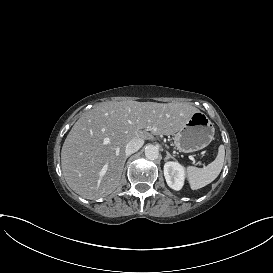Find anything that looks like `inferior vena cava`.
<instances>
[{
  "label": "inferior vena cava",
  "instance_id": "602c4592",
  "mask_svg": "<svg viewBox=\"0 0 273 273\" xmlns=\"http://www.w3.org/2000/svg\"><path fill=\"white\" fill-rule=\"evenodd\" d=\"M144 144V140L141 138H133L131 139L125 149L126 155H131L135 152H137Z\"/></svg>",
  "mask_w": 273,
  "mask_h": 273
}]
</instances>
